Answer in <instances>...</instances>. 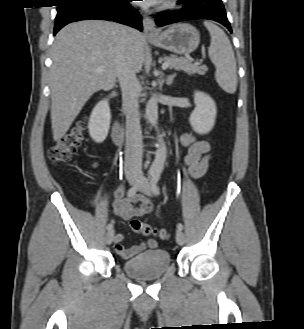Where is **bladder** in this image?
<instances>
[{
	"label": "bladder",
	"mask_w": 304,
	"mask_h": 329,
	"mask_svg": "<svg viewBox=\"0 0 304 329\" xmlns=\"http://www.w3.org/2000/svg\"><path fill=\"white\" fill-rule=\"evenodd\" d=\"M171 256L162 249H150L122 263L126 274L137 279L160 277L170 266Z\"/></svg>",
	"instance_id": "obj_1"
}]
</instances>
